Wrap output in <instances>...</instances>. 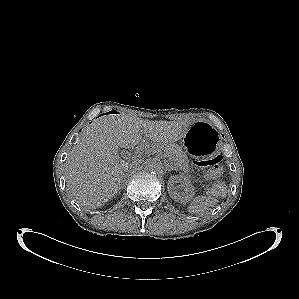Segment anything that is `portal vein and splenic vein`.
Returning a JSON list of instances; mask_svg holds the SVG:
<instances>
[{"instance_id": "portal-vein-and-splenic-vein-1", "label": "portal vein and splenic vein", "mask_w": 299, "mask_h": 299, "mask_svg": "<svg viewBox=\"0 0 299 299\" xmlns=\"http://www.w3.org/2000/svg\"><path fill=\"white\" fill-rule=\"evenodd\" d=\"M144 149L145 148H144V144H143L142 146L137 147L136 153H141V152H143Z\"/></svg>"}]
</instances>
